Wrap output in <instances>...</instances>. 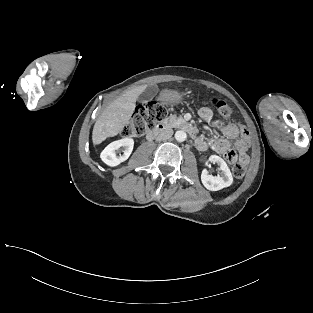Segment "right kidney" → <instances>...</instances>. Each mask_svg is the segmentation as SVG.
<instances>
[{
  "instance_id": "obj_1",
  "label": "right kidney",
  "mask_w": 313,
  "mask_h": 313,
  "mask_svg": "<svg viewBox=\"0 0 313 313\" xmlns=\"http://www.w3.org/2000/svg\"><path fill=\"white\" fill-rule=\"evenodd\" d=\"M134 140L131 138H124L110 143L101 152V160L108 166H117L129 158L133 151ZM123 147V155H117V151Z\"/></svg>"
}]
</instances>
